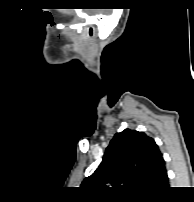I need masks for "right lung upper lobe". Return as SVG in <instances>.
I'll list each match as a JSON object with an SVG mask.
<instances>
[{
  "label": "right lung upper lobe",
  "mask_w": 194,
  "mask_h": 202,
  "mask_svg": "<svg viewBox=\"0 0 194 202\" xmlns=\"http://www.w3.org/2000/svg\"><path fill=\"white\" fill-rule=\"evenodd\" d=\"M82 185L100 195L145 198L164 192L168 175L155 141L125 129L114 136L99 167Z\"/></svg>",
  "instance_id": "cb5924a9"
}]
</instances>
